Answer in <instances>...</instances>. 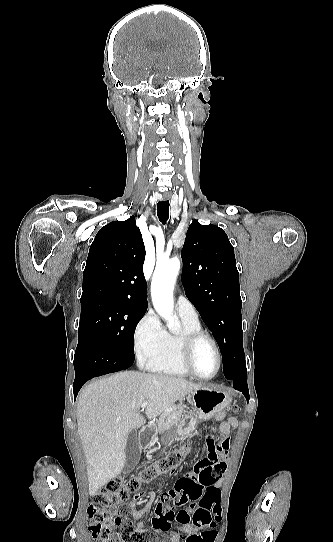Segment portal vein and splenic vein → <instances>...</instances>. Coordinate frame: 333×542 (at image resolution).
<instances>
[{
	"mask_svg": "<svg viewBox=\"0 0 333 542\" xmlns=\"http://www.w3.org/2000/svg\"><path fill=\"white\" fill-rule=\"evenodd\" d=\"M146 406H148V402H143V404L141 406V408H142L141 412H144ZM119 420H123V418H117L116 422H119Z\"/></svg>",
	"mask_w": 333,
	"mask_h": 542,
	"instance_id": "obj_1",
	"label": "portal vein and splenic vein"
}]
</instances>
